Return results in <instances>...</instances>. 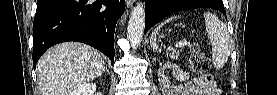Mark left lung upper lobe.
Returning <instances> with one entry per match:
<instances>
[{"label": "left lung upper lobe", "instance_id": "left-lung-upper-lobe-1", "mask_svg": "<svg viewBox=\"0 0 277 95\" xmlns=\"http://www.w3.org/2000/svg\"><path fill=\"white\" fill-rule=\"evenodd\" d=\"M179 5L185 7H197L200 4L197 2V0H180Z\"/></svg>", "mask_w": 277, "mask_h": 95}]
</instances>
